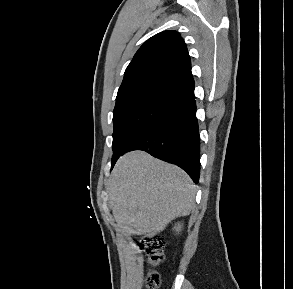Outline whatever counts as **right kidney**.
Masks as SVG:
<instances>
[{
  "instance_id": "ca27d5eb",
  "label": "right kidney",
  "mask_w": 293,
  "mask_h": 289,
  "mask_svg": "<svg viewBox=\"0 0 293 289\" xmlns=\"http://www.w3.org/2000/svg\"><path fill=\"white\" fill-rule=\"evenodd\" d=\"M175 228H176V231H180V229H181V225L178 224L177 227H175Z\"/></svg>"
}]
</instances>
